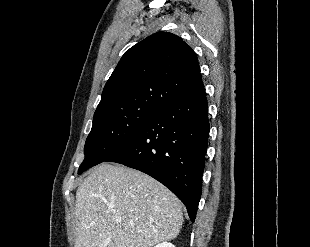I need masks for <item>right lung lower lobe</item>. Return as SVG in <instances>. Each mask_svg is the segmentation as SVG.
<instances>
[{"mask_svg": "<svg viewBox=\"0 0 310 247\" xmlns=\"http://www.w3.org/2000/svg\"><path fill=\"white\" fill-rule=\"evenodd\" d=\"M208 136V103L203 86L158 110L105 161L140 170L164 184L185 204L194 222Z\"/></svg>", "mask_w": 310, "mask_h": 247, "instance_id": "1", "label": "right lung lower lobe"}]
</instances>
